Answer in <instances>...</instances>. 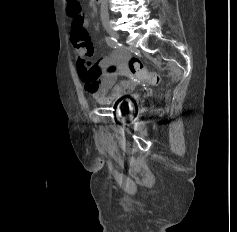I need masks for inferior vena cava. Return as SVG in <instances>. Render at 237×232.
Returning <instances> with one entry per match:
<instances>
[{"label": "inferior vena cava", "instance_id": "602c4592", "mask_svg": "<svg viewBox=\"0 0 237 232\" xmlns=\"http://www.w3.org/2000/svg\"><path fill=\"white\" fill-rule=\"evenodd\" d=\"M100 3H101V9H100L101 19L102 21H108L109 13H108L107 0H100Z\"/></svg>", "mask_w": 237, "mask_h": 232}]
</instances>
